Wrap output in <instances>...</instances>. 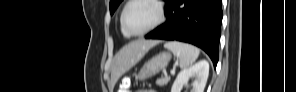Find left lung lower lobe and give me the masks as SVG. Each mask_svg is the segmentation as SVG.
<instances>
[{"mask_svg": "<svg viewBox=\"0 0 296 92\" xmlns=\"http://www.w3.org/2000/svg\"><path fill=\"white\" fill-rule=\"evenodd\" d=\"M167 20L146 39L177 40L203 49L217 65L221 35L222 0H169Z\"/></svg>", "mask_w": 296, "mask_h": 92, "instance_id": "left-lung-lower-lobe-1", "label": "left lung lower lobe"}]
</instances>
